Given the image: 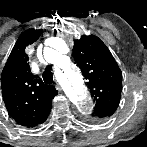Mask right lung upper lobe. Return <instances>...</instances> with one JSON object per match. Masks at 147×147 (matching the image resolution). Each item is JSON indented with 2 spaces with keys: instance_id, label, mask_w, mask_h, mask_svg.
<instances>
[{
  "instance_id": "cb5924a9",
  "label": "right lung upper lobe",
  "mask_w": 147,
  "mask_h": 147,
  "mask_svg": "<svg viewBox=\"0 0 147 147\" xmlns=\"http://www.w3.org/2000/svg\"><path fill=\"white\" fill-rule=\"evenodd\" d=\"M42 30L29 29L18 38L1 75L3 100L9 115L22 126L35 127L46 121L52 99L57 95L53 85H46L30 72L25 48L34 43Z\"/></svg>"
}]
</instances>
